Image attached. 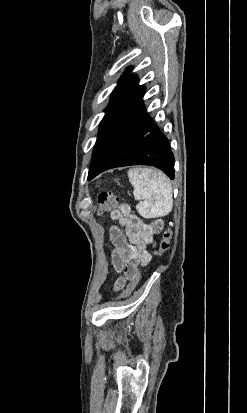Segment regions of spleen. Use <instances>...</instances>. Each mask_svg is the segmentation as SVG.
<instances>
[{
  "mask_svg": "<svg viewBox=\"0 0 247 413\" xmlns=\"http://www.w3.org/2000/svg\"><path fill=\"white\" fill-rule=\"evenodd\" d=\"M128 178L136 200L144 198V204H137L138 211L147 207L149 217H165L172 211V186L164 172L155 168H129Z\"/></svg>",
  "mask_w": 247,
  "mask_h": 413,
  "instance_id": "spleen-1",
  "label": "spleen"
}]
</instances>
